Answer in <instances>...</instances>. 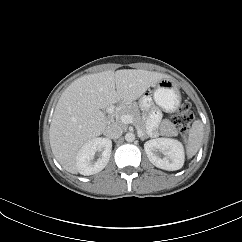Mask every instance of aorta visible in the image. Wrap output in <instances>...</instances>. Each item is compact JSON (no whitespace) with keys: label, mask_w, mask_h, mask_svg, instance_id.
Instances as JSON below:
<instances>
[{"label":"aorta","mask_w":242,"mask_h":242,"mask_svg":"<svg viewBox=\"0 0 242 242\" xmlns=\"http://www.w3.org/2000/svg\"><path fill=\"white\" fill-rule=\"evenodd\" d=\"M125 140L127 142H133L135 140V135L133 133H131V132L126 133Z\"/></svg>","instance_id":"obj_1"}]
</instances>
